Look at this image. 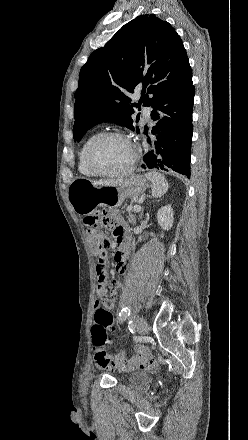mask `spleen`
<instances>
[{"instance_id": "obj_1", "label": "spleen", "mask_w": 248, "mask_h": 440, "mask_svg": "<svg viewBox=\"0 0 248 440\" xmlns=\"http://www.w3.org/2000/svg\"><path fill=\"white\" fill-rule=\"evenodd\" d=\"M145 177L152 183V196L155 198L163 196L168 188V182L164 175L158 172H148Z\"/></svg>"}]
</instances>
